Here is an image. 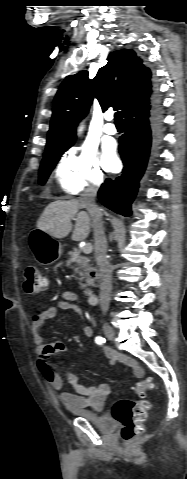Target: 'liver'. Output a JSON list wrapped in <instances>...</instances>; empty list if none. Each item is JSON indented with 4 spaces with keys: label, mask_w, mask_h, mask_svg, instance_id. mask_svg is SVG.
Returning <instances> with one entry per match:
<instances>
[{
    "label": "liver",
    "mask_w": 187,
    "mask_h": 479,
    "mask_svg": "<svg viewBox=\"0 0 187 479\" xmlns=\"http://www.w3.org/2000/svg\"><path fill=\"white\" fill-rule=\"evenodd\" d=\"M82 208L84 207L80 199L54 201L44 209L37 221V228L54 238H65L72 230L71 220L76 217L72 240H85L90 233L92 224L89 214L79 211Z\"/></svg>",
    "instance_id": "obj_1"
}]
</instances>
